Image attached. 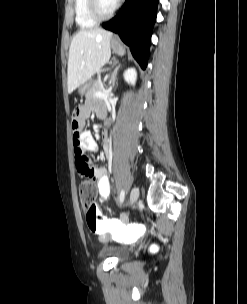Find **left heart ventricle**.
I'll use <instances>...</instances> for the list:
<instances>
[{
	"instance_id": "obj_1",
	"label": "left heart ventricle",
	"mask_w": 247,
	"mask_h": 304,
	"mask_svg": "<svg viewBox=\"0 0 247 304\" xmlns=\"http://www.w3.org/2000/svg\"><path fill=\"white\" fill-rule=\"evenodd\" d=\"M117 0H99V6L103 13H109L115 6Z\"/></svg>"
}]
</instances>
